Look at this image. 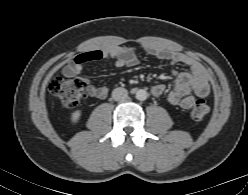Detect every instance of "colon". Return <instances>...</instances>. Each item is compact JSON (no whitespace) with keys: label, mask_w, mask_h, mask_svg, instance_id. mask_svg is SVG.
Listing matches in <instances>:
<instances>
[{"label":"colon","mask_w":248,"mask_h":195,"mask_svg":"<svg viewBox=\"0 0 248 195\" xmlns=\"http://www.w3.org/2000/svg\"><path fill=\"white\" fill-rule=\"evenodd\" d=\"M51 94L55 96L64 107H74L86 94V84L80 78L56 77L50 84ZM209 112V105L203 99H198L192 107V117L201 119Z\"/></svg>","instance_id":"colon-1"}]
</instances>
